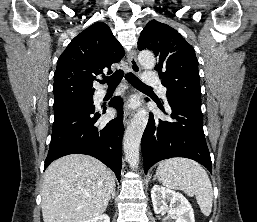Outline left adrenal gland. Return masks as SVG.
Returning a JSON list of instances; mask_svg holds the SVG:
<instances>
[{
    "mask_svg": "<svg viewBox=\"0 0 257 222\" xmlns=\"http://www.w3.org/2000/svg\"><path fill=\"white\" fill-rule=\"evenodd\" d=\"M153 180H156V176H154Z\"/></svg>",
    "mask_w": 257,
    "mask_h": 222,
    "instance_id": "a2214340",
    "label": "left adrenal gland"
}]
</instances>
